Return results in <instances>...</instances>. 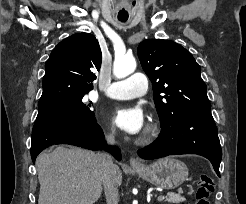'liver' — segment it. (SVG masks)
<instances>
[{"label":"liver","instance_id":"6515ba94","mask_svg":"<svg viewBox=\"0 0 246 204\" xmlns=\"http://www.w3.org/2000/svg\"><path fill=\"white\" fill-rule=\"evenodd\" d=\"M40 193L38 204H94L102 194V165L98 154L59 146L36 160ZM116 186L122 172L116 165Z\"/></svg>","mask_w":246,"mask_h":204}]
</instances>
